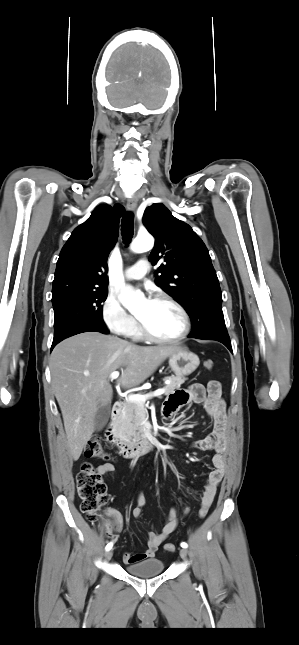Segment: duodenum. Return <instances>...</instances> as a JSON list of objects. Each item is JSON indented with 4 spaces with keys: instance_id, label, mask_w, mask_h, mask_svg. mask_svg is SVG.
Wrapping results in <instances>:
<instances>
[{
    "instance_id": "obj_1",
    "label": "duodenum",
    "mask_w": 299,
    "mask_h": 645,
    "mask_svg": "<svg viewBox=\"0 0 299 645\" xmlns=\"http://www.w3.org/2000/svg\"><path fill=\"white\" fill-rule=\"evenodd\" d=\"M123 412V405L120 402L114 403L111 412V420L105 431L106 441L116 447L124 458H137L153 450L158 440L154 435H148L136 442L121 439L116 430L117 420Z\"/></svg>"
}]
</instances>
